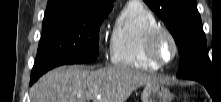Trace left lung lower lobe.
Wrapping results in <instances>:
<instances>
[{
    "mask_svg": "<svg viewBox=\"0 0 221 102\" xmlns=\"http://www.w3.org/2000/svg\"><path fill=\"white\" fill-rule=\"evenodd\" d=\"M201 83H202V84H204V85H205V87H206L207 89H209L210 84H211V80L204 81V82H201Z\"/></svg>",
    "mask_w": 221,
    "mask_h": 102,
    "instance_id": "left-lung-lower-lobe-1",
    "label": "left lung lower lobe"
}]
</instances>
